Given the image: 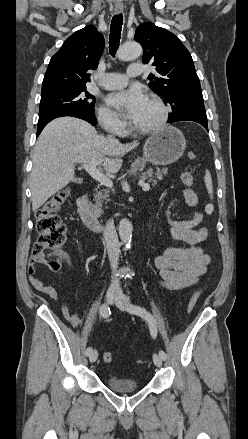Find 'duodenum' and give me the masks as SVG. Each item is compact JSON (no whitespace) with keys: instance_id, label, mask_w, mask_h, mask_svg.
Segmentation results:
<instances>
[{"instance_id":"1","label":"duodenum","mask_w":248,"mask_h":439,"mask_svg":"<svg viewBox=\"0 0 248 439\" xmlns=\"http://www.w3.org/2000/svg\"><path fill=\"white\" fill-rule=\"evenodd\" d=\"M78 212L82 222L91 230L99 231L103 228L99 221V212L89 203V194L83 193L77 199Z\"/></svg>"}]
</instances>
